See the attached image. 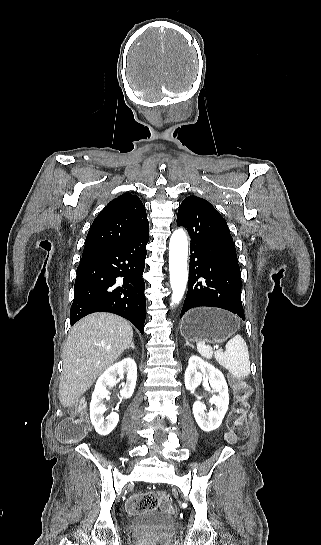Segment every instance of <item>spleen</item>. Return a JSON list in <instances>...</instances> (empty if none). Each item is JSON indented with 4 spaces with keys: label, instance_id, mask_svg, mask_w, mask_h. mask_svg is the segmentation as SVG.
Returning <instances> with one entry per match:
<instances>
[{
    "label": "spleen",
    "instance_id": "obj_1",
    "mask_svg": "<svg viewBox=\"0 0 321 545\" xmlns=\"http://www.w3.org/2000/svg\"><path fill=\"white\" fill-rule=\"evenodd\" d=\"M225 353L222 351H213L210 345H205L203 341L197 343V351L205 357V359H212L213 355L221 365L229 371L232 377L235 379H246L250 375V359L248 347L242 339L241 335H236L233 339H230L225 345Z\"/></svg>",
    "mask_w": 321,
    "mask_h": 545
}]
</instances>
